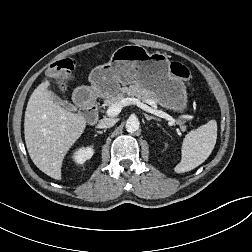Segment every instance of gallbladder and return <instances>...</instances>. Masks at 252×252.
Here are the masks:
<instances>
[{
    "instance_id": "1",
    "label": "gallbladder",
    "mask_w": 252,
    "mask_h": 252,
    "mask_svg": "<svg viewBox=\"0 0 252 252\" xmlns=\"http://www.w3.org/2000/svg\"><path fill=\"white\" fill-rule=\"evenodd\" d=\"M52 99H53V101H54L56 104H58V105H60V106H63L64 108L69 109V110L72 109V105H71L70 103H68V102L65 101V100H62V99H61L60 97H58L57 95L53 94V95H52Z\"/></svg>"
}]
</instances>
